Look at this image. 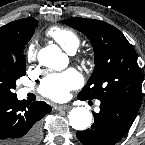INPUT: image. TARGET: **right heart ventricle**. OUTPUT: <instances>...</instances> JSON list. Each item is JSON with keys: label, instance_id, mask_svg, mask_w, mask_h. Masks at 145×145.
<instances>
[{"label": "right heart ventricle", "instance_id": "right-heart-ventricle-1", "mask_svg": "<svg viewBox=\"0 0 145 145\" xmlns=\"http://www.w3.org/2000/svg\"><path fill=\"white\" fill-rule=\"evenodd\" d=\"M47 34L52 37L59 45L69 52L76 50L80 44V38L76 32L64 27H53L47 31Z\"/></svg>", "mask_w": 145, "mask_h": 145}]
</instances>
